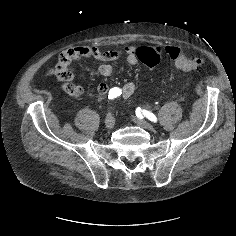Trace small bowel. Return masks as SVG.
Segmentation results:
<instances>
[{
	"label": "small bowel",
	"instance_id": "c3829d8e",
	"mask_svg": "<svg viewBox=\"0 0 236 236\" xmlns=\"http://www.w3.org/2000/svg\"><path fill=\"white\" fill-rule=\"evenodd\" d=\"M150 48L160 49L159 46L151 45L148 46ZM139 48V47H138ZM134 46H127L124 49V53L118 50H109L102 51L97 45L91 46H77L68 50H65L62 53V56L69 59L70 64L76 60L86 58V59H94L100 61L101 64L98 68V72L100 75L107 77L112 75L117 66L111 64L110 62H115L120 60L122 57L125 62L129 65H136L138 63V58L136 55L137 49ZM61 88L67 94L79 97L85 93V88L82 85L74 83V76L69 68L67 73V77L62 80ZM135 84L133 82H128L122 87V94L124 98H129L135 91ZM109 87L105 83H100L97 85L96 90L99 94H106Z\"/></svg>",
	"mask_w": 236,
	"mask_h": 236
}]
</instances>
